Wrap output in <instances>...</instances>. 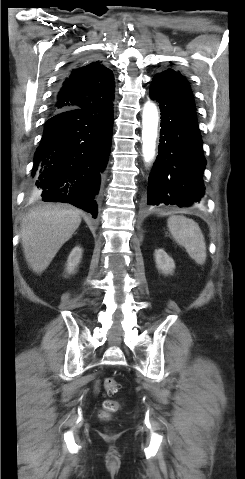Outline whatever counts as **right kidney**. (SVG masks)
<instances>
[{
    "instance_id": "ca27d5eb",
    "label": "right kidney",
    "mask_w": 245,
    "mask_h": 479,
    "mask_svg": "<svg viewBox=\"0 0 245 479\" xmlns=\"http://www.w3.org/2000/svg\"><path fill=\"white\" fill-rule=\"evenodd\" d=\"M82 252H83L82 248H80L79 246H76L75 248H73V250L69 254L67 265H66V272L68 274L75 273V270L82 258Z\"/></svg>"
}]
</instances>
